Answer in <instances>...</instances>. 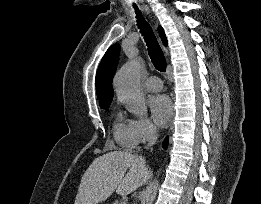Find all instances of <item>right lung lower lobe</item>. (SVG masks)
Returning a JSON list of instances; mask_svg holds the SVG:
<instances>
[{
  "instance_id": "right-lung-lower-lobe-1",
  "label": "right lung lower lobe",
  "mask_w": 261,
  "mask_h": 204,
  "mask_svg": "<svg viewBox=\"0 0 261 204\" xmlns=\"http://www.w3.org/2000/svg\"><path fill=\"white\" fill-rule=\"evenodd\" d=\"M167 144H168V137H166V138H165V140H164V143H163V148H165V149H166V147H167Z\"/></svg>"
}]
</instances>
